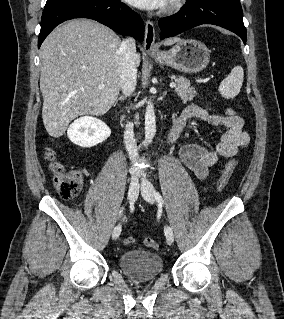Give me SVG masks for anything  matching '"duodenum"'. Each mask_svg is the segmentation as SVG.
<instances>
[{
  "mask_svg": "<svg viewBox=\"0 0 284 319\" xmlns=\"http://www.w3.org/2000/svg\"><path fill=\"white\" fill-rule=\"evenodd\" d=\"M176 134H177V130L175 129V127L172 125L168 131V134H167V140L169 142H172L174 141L175 137H176Z\"/></svg>",
  "mask_w": 284,
  "mask_h": 319,
  "instance_id": "410a0bca",
  "label": "duodenum"
}]
</instances>
